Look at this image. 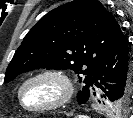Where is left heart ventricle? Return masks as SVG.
I'll list each match as a JSON object with an SVG mask.
<instances>
[{
	"mask_svg": "<svg viewBox=\"0 0 133 118\" xmlns=\"http://www.w3.org/2000/svg\"><path fill=\"white\" fill-rule=\"evenodd\" d=\"M60 86L49 79L31 81L23 91V100L26 106L36 107L51 103L60 96Z\"/></svg>",
	"mask_w": 133,
	"mask_h": 118,
	"instance_id": "obj_1",
	"label": "left heart ventricle"
}]
</instances>
